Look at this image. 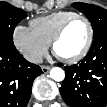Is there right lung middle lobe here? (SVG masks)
<instances>
[{
    "instance_id": "1",
    "label": "right lung middle lobe",
    "mask_w": 107,
    "mask_h": 107,
    "mask_svg": "<svg viewBox=\"0 0 107 107\" xmlns=\"http://www.w3.org/2000/svg\"><path fill=\"white\" fill-rule=\"evenodd\" d=\"M27 16L22 9L7 2H0V47L16 50L13 43V32L16 25Z\"/></svg>"
}]
</instances>
